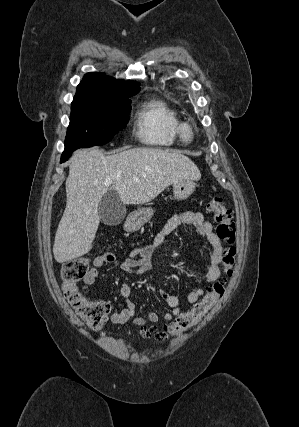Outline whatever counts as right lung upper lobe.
I'll list each match as a JSON object with an SVG mask.
<instances>
[{"mask_svg":"<svg viewBox=\"0 0 299 427\" xmlns=\"http://www.w3.org/2000/svg\"><path fill=\"white\" fill-rule=\"evenodd\" d=\"M140 90L135 81L116 80L104 74L87 73L80 84L73 101L116 100L131 97Z\"/></svg>","mask_w":299,"mask_h":427,"instance_id":"right-lung-upper-lobe-1","label":"right lung upper lobe"}]
</instances>
